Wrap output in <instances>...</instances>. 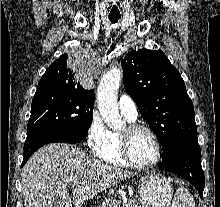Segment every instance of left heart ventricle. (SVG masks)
Segmentation results:
<instances>
[{"label":"left heart ventricle","mask_w":220,"mask_h":207,"mask_svg":"<svg viewBox=\"0 0 220 207\" xmlns=\"http://www.w3.org/2000/svg\"><path fill=\"white\" fill-rule=\"evenodd\" d=\"M124 131L125 129L122 132ZM129 148L131 156L138 163L148 164L156 159L157 150L155 143L146 131L138 130L131 133L129 136Z\"/></svg>","instance_id":"b2bd125f"}]
</instances>
